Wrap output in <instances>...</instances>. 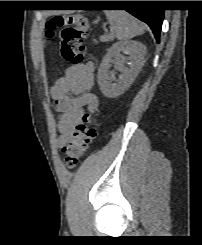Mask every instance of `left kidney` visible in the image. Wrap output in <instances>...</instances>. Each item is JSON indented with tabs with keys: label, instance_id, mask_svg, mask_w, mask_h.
Segmentation results:
<instances>
[{
	"label": "left kidney",
	"instance_id": "1",
	"mask_svg": "<svg viewBox=\"0 0 202 245\" xmlns=\"http://www.w3.org/2000/svg\"><path fill=\"white\" fill-rule=\"evenodd\" d=\"M121 52L128 54L126 59ZM146 46L138 41L116 42L104 56L98 70V84L101 92L108 98L123 94L134 82L145 62ZM115 59V68L121 72L118 80L108 75L110 63ZM129 60L130 67L124 66Z\"/></svg>",
	"mask_w": 202,
	"mask_h": 245
}]
</instances>
